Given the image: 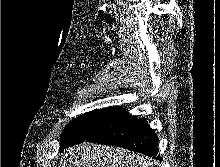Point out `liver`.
Instances as JSON below:
<instances>
[{
	"instance_id": "1",
	"label": "liver",
	"mask_w": 220,
	"mask_h": 167,
	"mask_svg": "<svg viewBox=\"0 0 220 167\" xmlns=\"http://www.w3.org/2000/svg\"><path fill=\"white\" fill-rule=\"evenodd\" d=\"M59 167H149V162L127 149L84 142L67 149Z\"/></svg>"
}]
</instances>
